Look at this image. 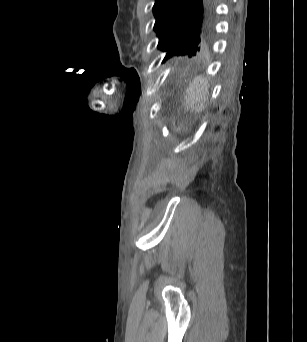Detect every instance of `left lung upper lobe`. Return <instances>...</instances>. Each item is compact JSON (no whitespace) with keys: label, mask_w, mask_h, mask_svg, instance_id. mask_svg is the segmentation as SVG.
I'll use <instances>...</instances> for the list:
<instances>
[{"label":"left lung upper lobe","mask_w":307,"mask_h":342,"mask_svg":"<svg viewBox=\"0 0 307 342\" xmlns=\"http://www.w3.org/2000/svg\"><path fill=\"white\" fill-rule=\"evenodd\" d=\"M153 13L158 49L166 52L164 61L172 56H195L210 38L212 17L203 0H156Z\"/></svg>","instance_id":"obj_1"}]
</instances>
